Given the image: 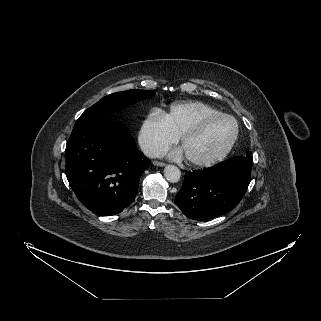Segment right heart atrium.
Returning <instances> with one entry per match:
<instances>
[{
	"label": "right heart atrium",
	"instance_id": "obj_1",
	"mask_svg": "<svg viewBox=\"0 0 321 321\" xmlns=\"http://www.w3.org/2000/svg\"><path fill=\"white\" fill-rule=\"evenodd\" d=\"M138 140L145 154L155 156L175 143L177 137L167 129L162 113L152 111L141 124Z\"/></svg>",
	"mask_w": 321,
	"mask_h": 321
}]
</instances>
